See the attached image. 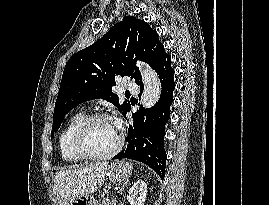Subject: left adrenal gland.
<instances>
[{
	"label": "left adrenal gland",
	"instance_id": "obj_1",
	"mask_svg": "<svg viewBox=\"0 0 269 205\" xmlns=\"http://www.w3.org/2000/svg\"><path fill=\"white\" fill-rule=\"evenodd\" d=\"M128 183H129V180H127L124 184H122V186H121L120 190L118 191V193H121L125 189V187L127 186Z\"/></svg>",
	"mask_w": 269,
	"mask_h": 205
}]
</instances>
